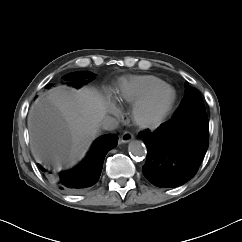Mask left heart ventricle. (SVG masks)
Wrapping results in <instances>:
<instances>
[{"mask_svg": "<svg viewBox=\"0 0 242 242\" xmlns=\"http://www.w3.org/2000/svg\"><path fill=\"white\" fill-rule=\"evenodd\" d=\"M169 98V93H165L158 97V99L152 105H150L147 109H145L142 112V117L147 120H152L156 118L160 114L164 106L168 103Z\"/></svg>", "mask_w": 242, "mask_h": 242, "instance_id": "1", "label": "left heart ventricle"}]
</instances>
